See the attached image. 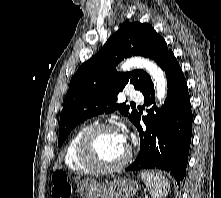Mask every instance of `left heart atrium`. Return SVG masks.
<instances>
[{
	"instance_id": "39dd6f15",
	"label": "left heart atrium",
	"mask_w": 221,
	"mask_h": 198,
	"mask_svg": "<svg viewBox=\"0 0 221 198\" xmlns=\"http://www.w3.org/2000/svg\"><path fill=\"white\" fill-rule=\"evenodd\" d=\"M120 136H121L122 141L125 144H127V142H128L127 135L125 133H120Z\"/></svg>"
}]
</instances>
